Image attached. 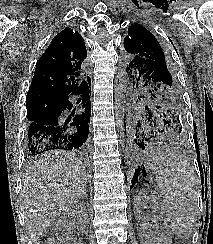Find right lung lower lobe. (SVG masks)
Listing matches in <instances>:
<instances>
[{
	"label": "right lung lower lobe",
	"mask_w": 213,
	"mask_h": 244,
	"mask_svg": "<svg viewBox=\"0 0 213 244\" xmlns=\"http://www.w3.org/2000/svg\"><path fill=\"white\" fill-rule=\"evenodd\" d=\"M82 93L81 114L66 116L65 110H71L72 103L68 100L70 95ZM91 91L87 82L82 84L65 97L56 99L43 107L34 117L28 127L27 149L31 155L61 149H88L89 122L91 113Z\"/></svg>",
	"instance_id": "1"
}]
</instances>
